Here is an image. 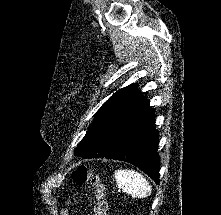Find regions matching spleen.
Listing matches in <instances>:
<instances>
[{"mask_svg":"<svg viewBox=\"0 0 221 215\" xmlns=\"http://www.w3.org/2000/svg\"><path fill=\"white\" fill-rule=\"evenodd\" d=\"M115 178L117 186L132 197L145 198L151 192V186L147 180L134 170H116Z\"/></svg>","mask_w":221,"mask_h":215,"instance_id":"1","label":"spleen"}]
</instances>
